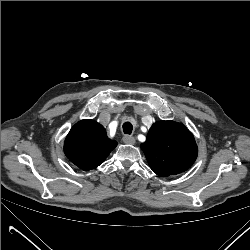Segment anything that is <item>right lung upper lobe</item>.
Listing matches in <instances>:
<instances>
[{
	"instance_id": "obj_1",
	"label": "right lung upper lobe",
	"mask_w": 250,
	"mask_h": 250,
	"mask_svg": "<svg viewBox=\"0 0 250 250\" xmlns=\"http://www.w3.org/2000/svg\"><path fill=\"white\" fill-rule=\"evenodd\" d=\"M117 142L107 137L105 128L94 120H81L68 133L64 142L66 157L82 170L98 167Z\"/></svg>"
}]
</instances>
